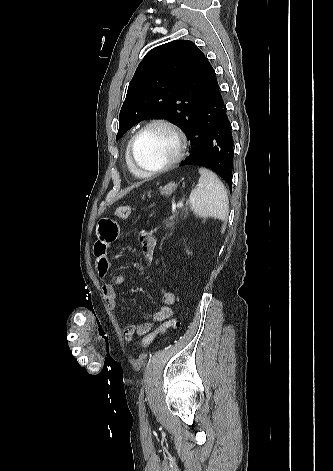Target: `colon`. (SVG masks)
Wrapping results in <instances>:
<instances>
[{"label":"colon","instance_id":"1","mask_svg":"<svg viewBox=\"0 0 333 471\" xmlns=\"http://www.w3.org/2000/svg\"><path fill=\"white\" fill-rule=\"evenodd\" d=\"M132 213V207L129 205H122L115 209V215L119 218H128ZM180 322L177 318H172L161 324L156 330L146 335L141 342V346L147 347L159 335L166 332L170 328H178Z\"/></svg>","mask_w":333,"mask_h":471}]
</instances>
